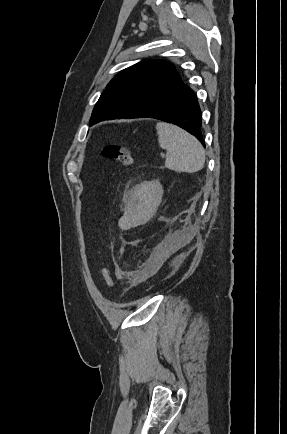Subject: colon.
<instances>
[{
  "mask_svg": "<svg viewBox=\"0 0 287 434\" xmlns=\"http://www.w3.org/2000/svg\"><path fill=\"white\" fill-rule=\"evenodd\" d=\"M103 154L105 157L119 162L123 166H129L133 162L132 152L129 148L121 145H108L104 147ZM102 280L107 288L113 287L112 272L108 267L102 269Z\"/></svg>",
  "mask_w": 287,
  "mask_h": 434,
  "instance_id": "obj_1",
  "label": "colon"
}]
</instances>
